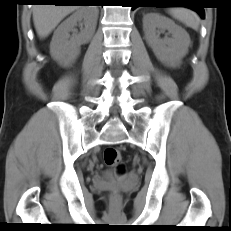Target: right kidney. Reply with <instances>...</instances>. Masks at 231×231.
<instances>
[{
	"label": "right kidney",
	"mask_w": 231,
	"mask_h": 231,
	"mask_svg": "<svg viewBox=\"0 0 231 231\" xmlns=\"http://www.w3.org/2000/svg\"><path fill=\"white\" fill-rule=\"evenodd\" d=\"M97 17V8L80 7L58 26L50 43V54L59 64L68 66L77 58L80 46L88 43L93 37ZM77 23L84 25L80 32L75 30Z\"/></svg>",
	"instance_id": "1"
}]
</instances>
